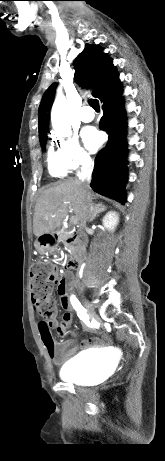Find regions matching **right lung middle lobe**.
I'll return each mask as SVG.
<instances>
[{"mask_svg":"<svg viewBox=\"0 0 165 461\" xmlns=\"http://www.w3.org/2000/svg\"><path fill=\"white\" fill-rule=\"evenodd\" d=\"M46 140H47V134H44L43 136L40 137V142H41L42 148H44Z\"/></svg>","mask_w":165,"mask_h":461,"instance_id":"right-lung-middle-lobe-1","label":"right lung middle lobe"}]
</instances>
